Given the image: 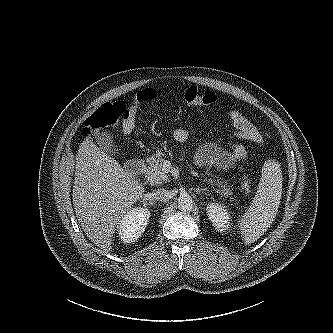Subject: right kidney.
<instances>
[{
    "mask_svg": "<svg viewBox=\"0 0 333 333\" xmlns=\"http://www.w3.org/2000/svg\"><path fill=\"white\" fill-rule=\"evenodd\" d=\"M150 211L147 208H132L118 223V234L124 243H133L141 237L148 224Z\"/></svg>",
    "mask_w": 333,
    "mask_h": 333,
    "instance_id": "right-kidney-1",
    "label": "right kidney"
}]
</instances>
